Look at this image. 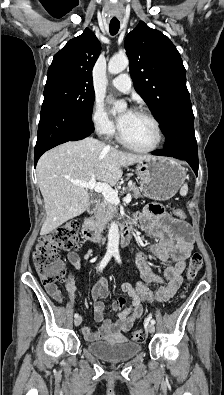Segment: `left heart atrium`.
<instances>
[{
	"label": "left heart atrium",
	"instance_id": "39dd6f15",
	"mask_svg": "<svg viewBox=\"0 0 224 395\" xmlns=\"http://www.w3.org/2000/svg\"><path fill=\"white\" fill-rule=\"evenodd\" d=\"M131 112H132V111L129 110V111H127V112L125 113L124 116H120V117L118 118V126H119V128H120V126L123 124L125 117H126L127 115H129Z\"/></svg>",
	"mask_w": 224,
	"mask_h": 395
}]
</instances>
